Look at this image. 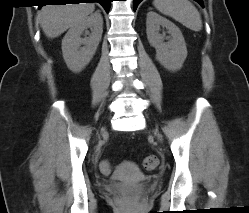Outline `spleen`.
Masks as SVG:
<instances>
[{
    "instance_id": "1",
    "label": "spleen",
    "mask_w": 249,
    "mask_h": 213,
    "mask_svg": "<svg viewBox=\"0 0 249 213\" xmlns=\"http://www.w3.org/2000/svg\"><path fill=\"white\" fill-rule=\"evenodd\" d=\"M153 4L158 11L174 18L187 28L195 32L202 29L200 13L189 0H154Z\"/></svg>"
}]
</instances>
